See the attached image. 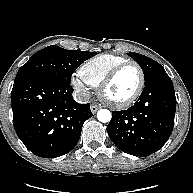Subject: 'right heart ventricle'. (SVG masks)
Masks as SVG:
<instances>
[{"label":"right heart ventricle","mask_w":193,"mask_h":193,"mask_svg":"<svg viewBox=\"0 0 193 193\" xmlns=\"http://www.w3.org/2000/svg\"><path fill=\"white\" fill-rule=\"evenodd\" d=\"M126 61L129 60L122 56L100 54L86 60L79 68V75L89 86L98 88L112 69Z\"/></svg>","instance_id":"obj_1"}]
</instances>
